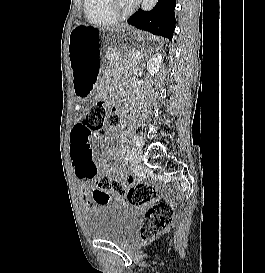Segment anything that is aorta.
I'll list each match as a JSON object with an SVG mask.
<instances>
[{
    "label": "aorta",
    "instance_id": "762f6f07",
    "mask_svg": "<svg viewBox=\"0 0 265 273\" xmlns=\"http://www.w3.org/2000/svg\"><path fill=\"white\" fill-rule=\"evenodd\" d=\"M158 0H142L141 8L144 11H150L154 8Z\"/></svg>",
    "mask_w": 265,
    "mask_h": 273
}]
</instances>
